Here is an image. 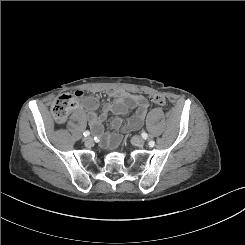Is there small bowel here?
I'll list each match as a JSON object with an SVG mask.
<instances>
[{
	"instance_id": "obj_1",
	"label": "small bowel",
	"mask_w": 245,
	"mask_h": 245,
	"mask_svg": "<svg viewBox=\"0 0 245 245\" xmlns=\"http://www.w3.org/2000/svg\"><path fill=\"white\" fill-rule=\"evenodd\" d=\"M76 92L84 94L81 90ZM107 94L113 98V101L105 103L100 114L96 112L98 102L95 98L87 97L83 101V107L87 110V118L94 134L98 136L103 134V123L109 115L116 116L112 121V127L114 129L122 128L123 117L129 109H135V113L128 120L126 129L135 130L142 126L149 108V103L143 95L114 88L107 90ZM107 141L108 137H105L104 142L107 143Z\"/></svg>"
}]
</instances>
